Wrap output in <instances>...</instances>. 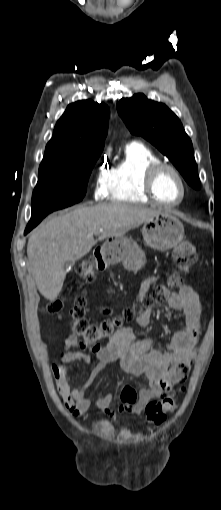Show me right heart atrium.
<instances>
[{
	"instance_id": "right-heart-atrium-1",
	"label": "right heart atrium",
	"mask_w": 221,
	"mask_h": 510,
	"mask_svg": "<svg viewBox=\"0 0 221 510\" xmlns=\"http://www.w3.org/2000/svg\"><path fill=\"white\" fill-rule=\"evenodd\" d=\"M110 186V171L101 165L97 173L94 184V196L97 200L104 199L109 192Z\"/></svg>"
}]
</instances>
